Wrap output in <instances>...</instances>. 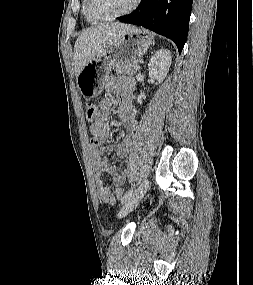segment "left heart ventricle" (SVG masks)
Masks as SVG:
<instances>
[{
    "mask_svg": "<svg viewBox=\"0 0 253 285\" xmlns=\"http://www.w3.org/2000/svg\"><path fill=\"white\" fill-rule=\"evenodd\" d=\"M134 0H89V11L94 17H107L120 13L131 6Z\"/></svg>",
    "mask_w": 253,
    "mask_h": 285,
    "instance_id": "b2bd125f",
    "label": "left heart ventricle"
}]
</instances>
